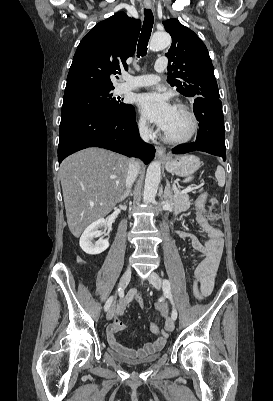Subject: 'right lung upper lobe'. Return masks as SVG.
<instances>
[{
	"label": "right lung upper lobe",
	"mask_w": 273,
	"mask_h": 401,
	"mask_svg": "<svg viewBox=\"0 0 273 401\" xmlns=\"http://www.w3.org/2000/svg\"><path fill=\"white\" fill-rule=\"evenodd\" d=\"M141 24L118 12L95 25L81 40L71 64L65 94L112 90L111 74L120 72L135 52Z\"/></svg>",
	"instance_id": "right-lung-upper-lobe-1"
}]
</instances>
